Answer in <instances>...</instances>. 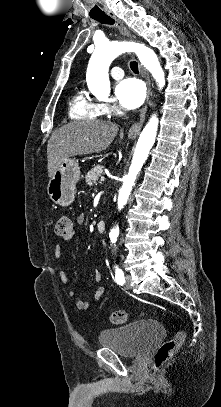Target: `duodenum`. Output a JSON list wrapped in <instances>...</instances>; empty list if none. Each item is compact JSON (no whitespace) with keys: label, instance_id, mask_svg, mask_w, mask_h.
I'll list each match as a JSON object with an SVG mask.
<instances>
[{"label":"duodenum","instance_id":"410a0bca","mask_svg":"<svg viewBox=\"0 0 221 407\" xmlns=\"http://www.w3.org/2000/svg\"><path fill=\"white\" fill-rule=\"evenodd\" d=\"M106 224L103 220H99L96 224V229L98 233H103L105 231Z\"/></svg>","mask_w":221,"mask_h":407}]
</instances>
